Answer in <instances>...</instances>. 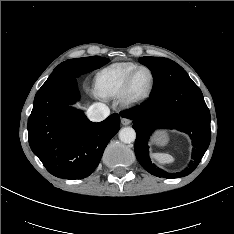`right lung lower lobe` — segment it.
Here are the masks:
<instances>
[{
    "label": "right lung lower lobe",
    "mask_w": 234,
    "mask_h": 234,
    "mask_svg": "<svg viewBox=\"0 0 234 234\" xmlns=\"http://www.w3.org/2000/svg\"><path fill=\"white\" fill-rule=\"evenodd\" d=\"M79 99L76 76L53 72L38 90L28 119L31 150L54 176L82 179L98 166L108 142L120 129V116L94 123L69 107Z\"/></svg>",
    "instance_id": "right-lung-lower-lobe-1"
}]
</instances>
